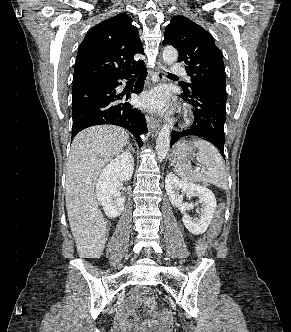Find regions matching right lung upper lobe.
I'll return each instance as SVG.
<instances>
[{"label": "right lung upper lobe", "instance_id": "right-lung-upper-lobe-1", "mask_svg": "<svg viewBox=\"0 0 291 332\" xmlns=\"http://www.w3.org/2000/svg\"><path fill=\"white\" fill-rule=\"evenodd\" d=\"M131 22L128 15L118 14L88 31L78 49L73 84L101 76L118 77L143 63L134 60V55L144 52Z\"/></svg>", "mask_w": 291, "mask_h": 332}]
</instances>
